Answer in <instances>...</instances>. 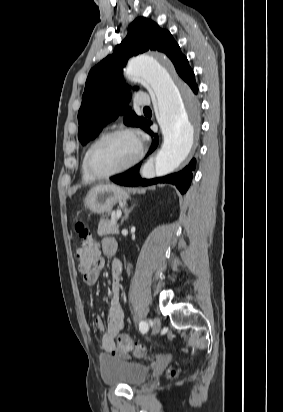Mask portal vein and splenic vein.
<instances>
[{
  "label": "portal vein and splenic vein",
  "mask_w": 283,
  "mask_h": 412,
  "mask_svg": "<svg viewBox=\"0 0 283 412\" xmlns=\"http://www.w3.org/2000/svg\"><path fill=\"white\" fill-rule=\"evenodd\" d=\"M121 211L120 210H118L117 212H116V217L119 219L120 217H121Z\"/></svg>",
  "instance_id": "18ae733b"
}]
</instances>
